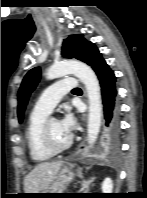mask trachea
I'll return each mask as SVG.
<instances>
[{"label": "trachea", "mask_w": 147, "mask_h": 198, "mask_svg": "<svg viewBox=\"0 0 147 198\" xmlns=\"http://www.w3.org/2000/svg\"><path fill=\"white\" fill-rule=\"evenodd\" d=\"M78 90H80L79 88H75V89H73V91H78Z\"/></svg>", "instance_id": "1"}]
</instances>
